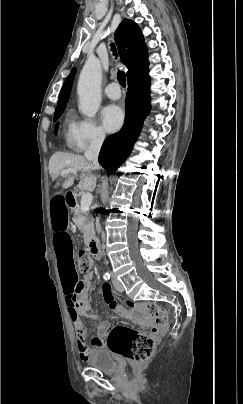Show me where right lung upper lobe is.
I'll list each match as a JSON object with an SVG mask.
<instances>
[{"label":"right lung upper lobe","mask_w":243,"mask_h":404,"mask_svg":"<svg viewBox=\"0 0 243 404\" xmlns=\"http://www.w3.org/2000/svg\"><path fill=\"white\" fill-rule=\"evenodd\" d=\"M115 39L121 62L128 68V80L144 73L148 70V54L144 44V37L139 26L132 20L124 19L115 32ZM76 69H72L66 78L57 102V107H65L69 99L72 81Z\"/></svg>","instance_id":"1"}]
</instances>
